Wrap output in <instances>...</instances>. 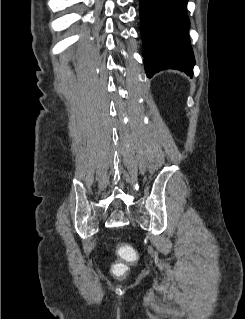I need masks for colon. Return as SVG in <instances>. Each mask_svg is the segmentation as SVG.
Masks as SVG:
<instances>
[{"label": "colon", "instance_id": "colon-1", "mask_svg": "<svg viewBox=\"0 0 245 319\" xmlns=\"http://www.w3.org/2000/svg\"><path fill=\"white\" fill-rule=\"evenodd\" d=\"M118 254L128 260V261H136L137 260V254L135 250L130 247L129 245H121L118 247ZM114 272L116 273H123L125 272V268L123 266H115Z\"/></svg>", "mask_w": 245, "mask_h": 319}]
</instances>
